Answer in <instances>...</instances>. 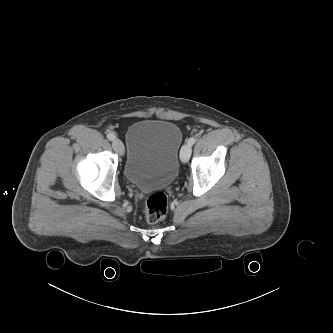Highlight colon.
Instances as JSON below:
<instances>
[{"label": "colon", "mask_w": 333, "mask_h": 333, "mask_svg": "<svg viewBox=\"0 0 333 333\" xmlns=\"http://www.w3.org/2000/svg\"><path fill=\"white\" fill-rule=\"evenodd\" d=\"M168 212V199L164 193L151 195L145 205L144 214L149 223L163 220Z\"/></svg>", "instance_id": "1"}]
</instances>
